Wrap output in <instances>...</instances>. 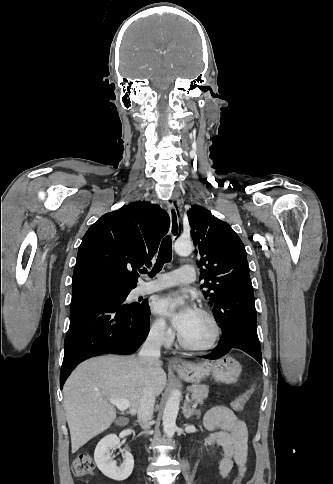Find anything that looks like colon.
<instances>
[{"label":"colon","mask_w":333,"mask_h":484,"mask_svg":"<svg viewBox=\"0 0 333 484\" xmlns=\"http://www.w3.org/2000/svg\"><path fill=\"white\" fill-rule=\"evenodd\" d=\"M253 392L254 388H249L238 397L233 399L230 403L229 408L237 412L243 410L245 404L251 398ZM72 470L74 475H76L77 477H86L92 475L95 470V463L92 456L89 454L78 455L73 461ZM240 481L241 479L238 477L235 479L233 484H240Z\"/></svg>","instance_id":"obj_1"}]
</instances>
